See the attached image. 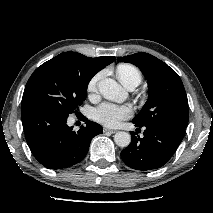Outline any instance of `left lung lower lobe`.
I'll list each match as a JSON object with an SVG mask.
<instances>
[{
  "label": "left lung lower lobe",
  "instance_id": "obj_1",
  "mask_svg": "<svg viewBox=\"0 0 213 213\" xmlns=\"http://www.w3.org/2000/svg\"><path fill=\"white\" fill-rule=\"evenodd\" d=\"M134 123V122H133ZM144 127L143 137L132 132L131 144L121 151L123 162L135 170L162 167L180 145L185 130L168 124L138 125ZM137 128V130H140Z\"/></svg>",
  "mask_w": 213,
  "mask_h": 213
}]
</instances>
